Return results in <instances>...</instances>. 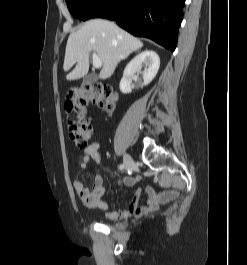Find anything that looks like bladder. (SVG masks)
I'll return each mask as SVG.
<instances>
[{
	"instance_id": "1",
	"label": "bladder",
	"mask_w": 247,
	"mask_h": 265,
	"mask_svg": "<svg viewBox=\"0 0 247 265\" xmlns=\"http://www.w3.org/2000/svg\"><path fill=\"white\" fill-rule=\"evenodd\" d=\"M115 227H123L124 226V224L123 223H115V224H113Z\"/></svg>"
}]
</instances>
